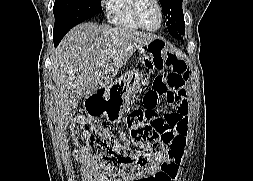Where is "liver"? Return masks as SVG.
Listing matches in <instances>:
<instances>
[{"label": "liver", "mask_w": 253, "mask_h": 181, "mask_svg": "<svg viewBox=\"0 0 253 181\" xmlns=\"http://www.w3.org/2000/svg\"><path fill=\"white\" fill-rule=\"evenodd\" d=\"M156 38L150 33L92 22L72 28L51 56L59 127H67L83 97L106 87L137 49Z\"/></svg>", "instance_id": "liver-1"}]
</instances>
